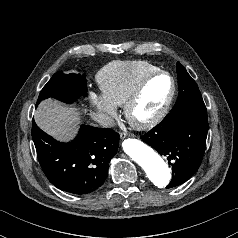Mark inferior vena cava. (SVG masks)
<instances>
[{
  "label": "inferior vena cava",
  "instance_id": "inferior-vena-cava-1",
  "mask_svg": "<svg viewBox=\"0 0 238 238\" xmlns=\"http://www.w3.org/2000/svg\"><path fill=\"white\" fill-rule=\"evenodd\" d=\"M93 119L102 127H113L115 125L114 119L104 113L93 114Z\"/></svg>",
  "mask_w": 238,
  "mask_h": 238
}]
</instances>
